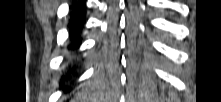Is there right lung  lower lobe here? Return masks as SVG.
<instances>
[{"label":"right lung lower lobe","instance_id":"obj_1","mask_svg":"<svg viewBox=\"0 0 221 102\" xmlns=\"http://www.w3.org/2000/svg\"><path fill=\"white\" fill-rule=\"evenodd\" d=\"M86 12L84 11V1L74 3L70 9V18L68 23L69 41L68 49L74 52L81 44V30L85 23ZM75 67H71L69 74L73 73ZM65 79V78H63Z\"/></svg>","mask_w":221,"mask_h":102}]
</instances>
